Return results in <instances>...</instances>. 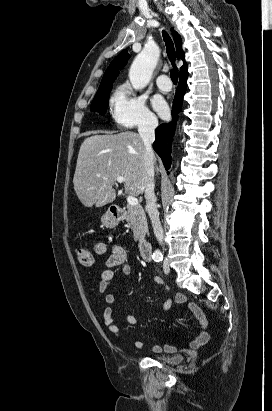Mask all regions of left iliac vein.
<instances>
[{
    "label": "left iliac vein",
    "instance_id": "4c4485c4",
    "mask_svg": "<svg viewBox=\"0 0 272 411\" xmlns=\"http://www.w3.org/2000/svg\"><path fill=\"white\" fill-rule=\"evenodd\" d=\"M163 270L165 274H168L170 272V268L167 262L164 263Z\"/></svg>",
    "mask_w": 272,
    "mask_h": 411
}]
</instances>
